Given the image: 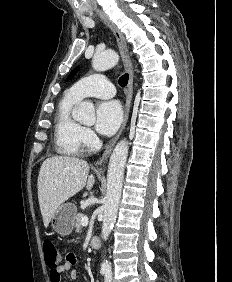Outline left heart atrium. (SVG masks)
Instances as JSON below:
<instances>
[{"label":"left heart atrium","instance_id":"1","mask_svg":"<svg viewBox=\"0 0 232 282\" xmlns=\"http://www.w3.org/2000/svg\"><path fill=\"white\" fill-rule=\"evenodd\" d=\"M122 108L118 101L101 102L96 110L95 126L103 135H112L122 122Z\"/></svg>","mask_w":232,"mask_h":282}]
</instances>
